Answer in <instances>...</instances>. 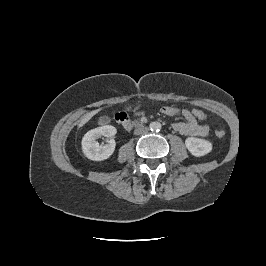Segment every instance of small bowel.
<instances>
[{
	"mask_svg": "<svg viewBox=\"0 0 266 266\" xmlns=\"http://www.w3.org/2000/svg\"><path fill=\"white\" fill-rule=\"evenodd\" d=\"M163 115L174 117L181 115L184 118L183 122L173 124V129L181 135L185 136H205L209 128L205 124L199 123L188 109H180L173 106H164L161 108Z\"/></svg>",
	"mask_w": 266,
	"mask_h": 266,
	"instance_id": "obj_1",
	"label": "small bowel"
}]
</instances>
